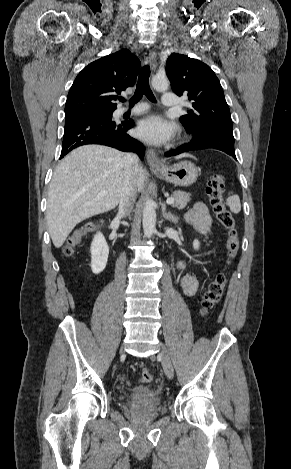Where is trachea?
I'll return each mask as SVG.
<instances>
[{"mask_svg": "<svg viewBox=\"0 0 291 469\" xmlns=\"http://www.w3.org/2000/svg\"><path fill=\"white\" fill-rule=\"evenodd\" d=\"M150 67L144 65L139 73L138 82L134 96L130 99V107L134 106L140 101L143 95H145L150 101L156 102L155 97L149 86ZM120 101L124 102V98H120Z\"/></svg>", "mask_w": 291, "mask_h": 469, "instance_id": "1", "label": "trachea"}]
</instances>
